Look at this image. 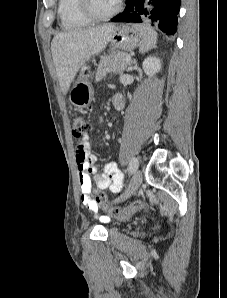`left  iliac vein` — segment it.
<instances>
[{
	"instance_id": "left-iliac-vein-1",
	"label": "left iliac vein",
	"mask_w": 227,
	"mask_h": 298,
	"mask_svg": "<svg viewBox=\"0 0 227 298\" xmlns=\"http://www.w3.org/2000/svg\"><path fill=\"white\" fill-rule=\"evenodd\" d=\"M141 183H142V172L140 170H137L134 173L132 179L130 180L129 185L125 190V192L116 201H121V200L123 201L129 196H131L138 189Z\"/></svg>"
}]
</instances>
